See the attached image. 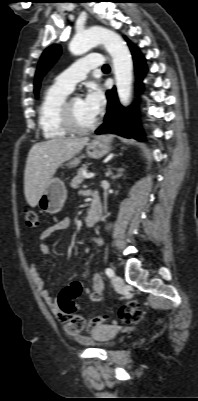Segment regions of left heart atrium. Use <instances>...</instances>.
Masks as SVG:
<instances>
[{"instance_id":"39dd6f15","label":"left heart atrium","mask_w":198,"mask_h":401,"mask_svg":"<svg viewBox=\"0 0 198 401\" xmlns=\"http://www.w3.org/2000/svg\"><path fill=\"white\" fill-rule=\"evenodd\" d=\"M83 103L90 114L97 117L105 104V97L102 89L95 84L90 85L83 99Z\"/></svg>"}]
</instances>
